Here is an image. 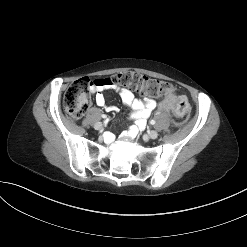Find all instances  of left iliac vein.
<instances>
[{
  "instance_id": "obj_1",
  "label": "left iliac vein",
  "mask_w": 247,
  "mask_h": 247,
  "mask_svg": "<svg viewBox=\"0 0 247 247\" xmlns=\"http://www.w3.org/2000/svg\"><path fill=\"white\" fill-rule=\"evenodd\" d=\"M148 137L151 139H156L158 137V132L155 130H151L148 132Z\"/></svg>"
}]
</instances>
